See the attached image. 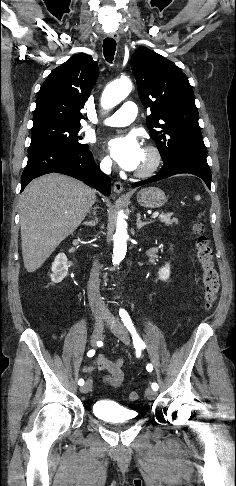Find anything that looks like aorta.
<instances>
[{
  "label": "aorta",
  "mask_w": 236,
  "mask_h": 486,
  "mask_svg": "<svg viewBox=\"0 0 236 486\" xmlns=\"http://www.w3.org/2000/svg\"><path fill=\"white\" fill-rule=\"evenodd\" d=\"M131 90L132 82L127 78L110 83L102 94L103 106L107 108L116 106L129 95ZM127 239V223L121 211L118 213L116 232L113 236L114 249L112 262L114 265L119 264L124 259L127 251Z\"/></svg>",
  "instance_id": "aorta-1"
}]
</instances>
